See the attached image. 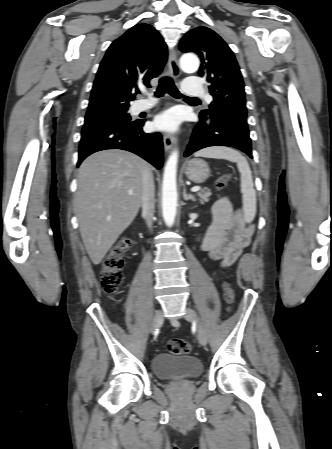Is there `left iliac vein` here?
Returning <instances> with one entry per match:
<instances>
[{"mask_svg":"<svg viewBox=\"0 0 332 449\" xmlns=\"http://www.w3.org/2000/svg\"><path fill=\"white\" fill-rule=\"evenodd\" d=\"M184 317L187 321L195 323L197 325V339L202 346H205L207 344V336L201 324L199 323L196 312L191 308H186Z\"/></svg>","mask_w":332,"mask_h":449,"instance_id":"1","label":"left iliac vein"}]
</instances>
